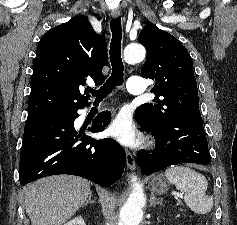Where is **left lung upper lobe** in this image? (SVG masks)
Returning a JSON list of instances; mask_svg holds the SVG:
<instances>
[{
	"label": "left lung upper lobe",
	"mask_w": 237,
	"mask_h": 225,
	"mask_svg": "<svg viewBox=\"0 0 237 225\" xmlns=\"http://www.w3.org/2000/svg\"><path fill=\"white\" fill-rule=\"evenodd\" d=\"M138 41L147 50L141 76L155 81L153 104L136 109V117L148 128L158 130L184 113L199 107L197 83L188 51L174 36L147 24Z\"/></svg>",
	"instance_id": "obj_1"
}]
</instances>
